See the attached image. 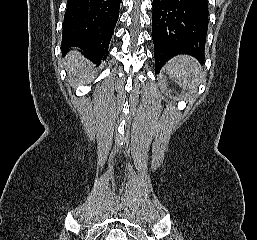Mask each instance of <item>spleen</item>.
Listing matches in <instances>:
<instances>
[{"label":"spleen","mask_w":257,"mask_h":240,"mask_svg":"<svg viewBox=\"0 0 257 240\" xmlns=\"http://www.w3.org/2000/svg\"><path fill=\"white\" fill-rule=\"evenodd\" d=\"M166 73L183 90L195 91L205 75L194 58L187 55L175 57L166 67Z\"/></svg>","instance_id":"obj_1"}]
</instances>
